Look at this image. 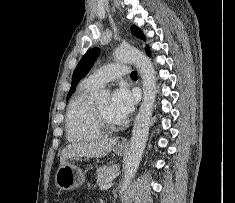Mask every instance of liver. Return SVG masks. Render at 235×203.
Here are the masks:
<instances>
[{
	"label": "liver",
	"mask_w": 235,
	"mask_h": 203,
	"mask_svg": "<svg viewBox=\"0 0 235 203\" xmlns=\"http://www.w3.org/2000/svg\"><path fill=\"white\" fill-rule=\"evenodd\" d=\"M118 138L92 140L67 145L61 152L60 165L72 158H101L111 152Z\"/></svg>",
	"instance_id": "6515ba94"
}]
</instances>
